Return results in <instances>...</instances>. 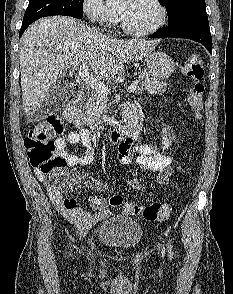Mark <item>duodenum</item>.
Returning a JSON list of instances; mask_svg holds the SVG:
<instances>
[{
    "label": "duodenum",
    "instance_id": "1",
    "mask_svg": "<svg viewBox=\"0 0 233 294\" xmlns=\"http://www.w3.org/2000/svg\"><path fill=\"white\" fill-rule=\"evenodd\" d=\"M64 118L71 122L76 128H83L77 101H71L63 111ZM139 134L138 114L134 106H126L122 122L107 134L95 131L93 137H106L113 144L132 143Z\"/></svg>",
    "mask_w": 233,
    "mask_h": 294
}]
</instances>
